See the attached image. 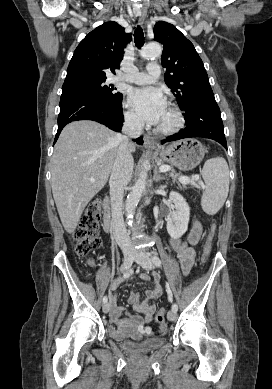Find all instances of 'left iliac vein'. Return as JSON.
<instances>
[{"label":"left iliac vein","instance_id":"1","mask_svg":"<svg viewBox=\"0 0 272 389\" xmlns=\"http://www.w3.org/2000/svg\"><path fill=\"white\" fill-rule=\"evenodd\" d=\"M135 261L145 270H151L153 268V263L148 256V254L144 250H138L135 252ZM167 318L170 321L176 319V312L169 311L167 314Z\"/></svg>","mask_w":272,"mask_h":389}]
</instances>
